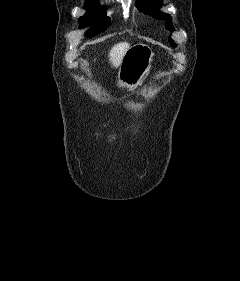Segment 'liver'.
<instances>
[{"instance_id":"1","label":"liver","mask_w":240,"mask_h":281,"mask_svg":"<svg viewBox=\"0 0 240 281\" xmlns=\"http://www.w3.org/2000/svg\"><path fill=\"white\" fill-rule=\"evenodd\" d=\"M130 44L127 42H120L115 44L110 52H109V61L113 65V67L117 68L119 67L125 53L129 49Z\"/></svg>"}]
</instances>
